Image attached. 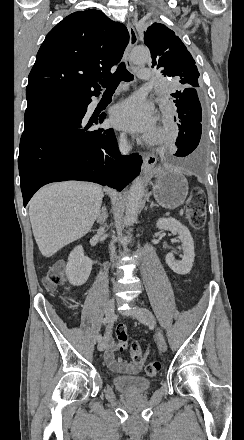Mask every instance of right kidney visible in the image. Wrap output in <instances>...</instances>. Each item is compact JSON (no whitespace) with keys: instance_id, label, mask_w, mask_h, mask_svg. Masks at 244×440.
Instances as JSON below:
<instances>
[{"instance_id":"ca27d5eb","label":"right kidney","mask_w":244,"mask_h":440,"mask_svg":"<svg viewBox=\"0 0 244 440\" xmlns=\"http://www.w3.org/2000/svg\"><path fill=\"white\" fill-rule=\"evenodd\" d=\"M92 270L90 258L84 256L82 246H76L69 254L65 274L72 286H83L87 282Z\"/></svg>"}]
</instances>
